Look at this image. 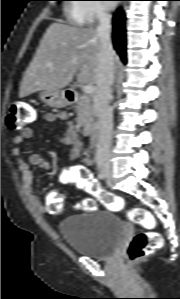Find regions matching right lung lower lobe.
Instances as JSON below:
<instances>
[{
    "label": "right lung lower lobe",
    "instance_id": "1",
    "mask_svg": "<svg viewBox=\"0 0 180 299\" xmlns=\"http://www.w3.org/2000/svg\"><path fill=\"white\" fill-rule=\"evenodd\" d=\"M113 45L123 63H126L125 17L118 10L113 17Z\"/></svg>",
    "mask_w": 180,
    "mask_h": 299
}]
</instances>
